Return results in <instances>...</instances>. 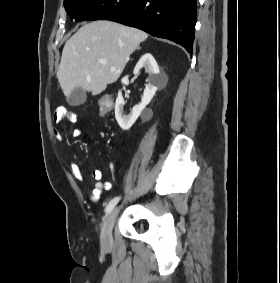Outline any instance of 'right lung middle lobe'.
<instances>
[{
    "mask_svg": "<svg viewBox=\"0 0 280 283\" xmlns=\"http://www.w3.org/2000/svg\"><path fill=\"white\" fill-rule=\"evenodd\" d=\"M132 0H64L65 9L75 21L101 20L113 15Z\"/></svg>",
    "mask_w": 280,
    "mask_h": 283,
    "instance_id": "1",
    "label": "right lung middle lobe"
}]
</instances>
